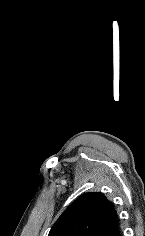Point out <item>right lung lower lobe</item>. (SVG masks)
Masks as SVG:
<instances>
[{
    "mask_svg": "<svg viewBox=\"0 0 145 236\" xmlns=\"http://www.w3.org/2000/svg\"><path fill=\"white\" fill-rule=\"evenodd\" d=\"M99 236H121V231L119 229L118 224H116L115 226L101 233Z\"/></svg>",
    "mask_w": 145,
    "mask_h": 236,
    "instance_id": "98d812e1",
    "label": "right lung lower lobe"
}]
</instances>
